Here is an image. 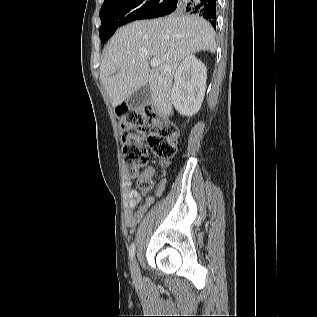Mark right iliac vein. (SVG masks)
I'll use <instances>...</instances> for the list:
<instances>
[{"mask_svg":"<svg viewBox=\"0 0 317 317\" xmlns=\"http://www.w3.org/2000/svg\"><path fill=\"white\" fill-rule=\"evenodd\" d=\"M130 268H131V274L134 278H138L139 276V267H138V264L136 262V260H132L131 262V265H130Z\"/></svg>","mask_w":317,"mask_h":317,"instance_id":"obj_1","label":"right iliac vein"}]
</instances>
